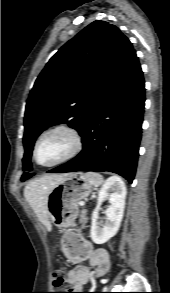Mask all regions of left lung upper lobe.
Here are the masks:
<instances>
[{
    "mask_svg": "<svg viewBox=\"0 0 170 293\" xmlns=\"http://www.w3.org/2000/svg\"><path fill=\"white\" fill-rule=\"evenodd\" d=\"M133 47L114 25L94 21L62 46L38 76L25 111V154L21 178L33 174L31 155L47 127L67 123L82 132L91 113L120 71Z\"/></svg>",
    "mask_w": 170,
    "mask_h": 293,
    "instance_id": "left-lung-upper-lobe-1",
    "label": "left lung upper lobe"
}]
</instances>
